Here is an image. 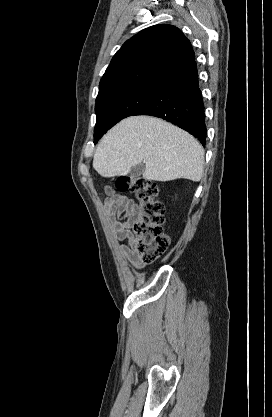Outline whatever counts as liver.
I'll return each instance as SVG.
<instances>
[{
	"mask_svg": "<svg viewBox=\"0 0 272 417\" xmlns=\"http://www.w3.org/2000/svg\"><path fill=\"white\" fill-rule=\"evenodd\" d=\"M204 149L184 130L149 116L128 117L102 138L93 167L102 177L126 175L136 164L145 163L143 177L153 181L184 178L200 181Z\"/></svg>",
	"mask_w": 272,
	"mask_h": 417,
	"instance_id": "liver-1",
	"label": "liver"
}]
</instances>
